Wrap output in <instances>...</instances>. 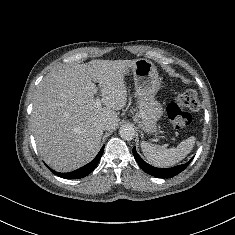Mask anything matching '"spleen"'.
<instances>
[{"label": "spleen", "mask_w": 235, "mask_h": 235, "mask_svg": "<svg viewBox=\"0 0 235 235\" xmlns=\"http://www.w3.org/2000/svg\"><path fill=\"white\" fill-rule=\"evenodd\" d=\"M196 138L191 136L176 148L160 149L158 145L142 141L141 149L148 162L156 167H170L184 159L193 149Z\"/></svg>", "instance_id": "obj_1"}]
</instances>
